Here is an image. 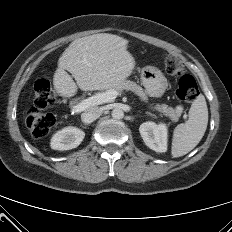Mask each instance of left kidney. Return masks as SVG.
<instances>
[{
	"label": "left kidney",
	"mask_w": 232,
	"mask_h": 232,
	"mask_svg": "<svg viewBox=\"0 0 232 232\" xmlns=\"http://www.w3.org/2000/svg\"><path fill=\"white\" fill-rule=\"evenodd\" d=\"M140 135L145 144L155 152H166L168 141V128L164 123L144 122L139 128Z\"/></svg>",
	"instance_id": "left-kidney-1"
}]
</instances>
